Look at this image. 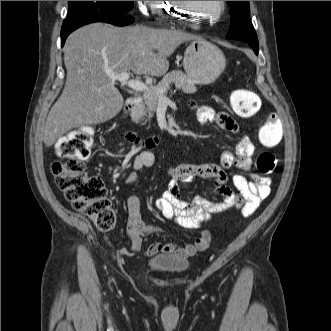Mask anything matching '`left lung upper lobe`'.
Segmentation results:
<instances>
[{
    "label": "left lung upper lobe",
    "instance_id": "left-lung-upper-lobe-1",
    "mask_svg": "<svg viewBox=\"0 0 331 331\" xmlns=\"http://www.w3.org/2000/svg\"><path fill=\"white\" fill-rule=\"evenodd\" d=\"M231 14V25L226 39L257 42L255 29L250 21L248 1H227Z\"/></svg>",
    "mask_w": 331,
    "mask_h": 331
}]
</instances>
